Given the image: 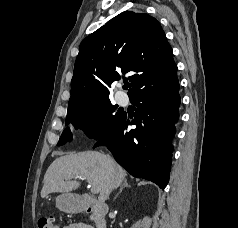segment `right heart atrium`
<instances>
[{"label": "right heart atrium", "mask_w": 238, "mask_h": 228, "mask_svg": "<svg viewBox=\"0 0 238 228\" xmlns=\"http://www.w3.org/2000/svg\"><path fill=\"white\" fill-rule=\"evenodd\" d=\"M95 126H96V121H95L94 119H91V120L89 121V127H90L91 129H94Z\"/></svg>", "instance_id": "1"}]
</instances>
